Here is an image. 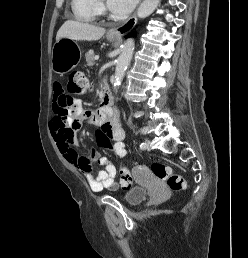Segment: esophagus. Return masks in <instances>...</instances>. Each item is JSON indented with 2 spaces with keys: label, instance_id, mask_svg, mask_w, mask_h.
Here are the masks:
<instances>
[{
  "label": "esophagus",
  "instance_id": "esophagus-1",
  "mask_svg": "<svg viewBox=\"0 0 248 258\" xmlns=\"http://www.w3.org/2000/svg\"><path fill=\"white\" fill-rule=\"evenodd\" d=\"M136 14H137V12L135 11L133 13V15L126 22H124L122 25H120L118 27L111 28L108 31V34L115 35V36H122V35L126 34L136 24V22H137Z\"/></svg>",
  "mask_w": 248,
  "mask_h": 258
}]
</instances>
